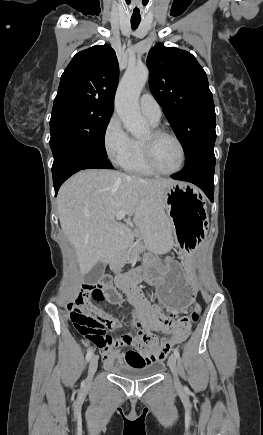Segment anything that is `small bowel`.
<instances>
[{"mask_svg": "<svg viewBox=\"0 0 263 435\" xmlns=\"http://www.w3.org/2000/svg\"><path fill=\"white\" fill-rule=\"evenodd\" d=\"M148 266L141 267L135 271L120 274L115 277L112 290L116 293L117 299L111 301L112 304H121L124 299L133 306V311L128 324L132 328H149L150 332H162L158 338L163 340L165 348L163 350H99L103 364L106 368L114 366H144L152 362H161L167 355H174L179 347L176 342L185 330H191V321H175L172 315L167 313L164 305L152 304L139 287L142 282V275ZM75 306L89 312L99 314L107 328L119 329L125 323L117 316L110 315L97 308L92 299L86 295H79L75 300Z\"/></svg>", "mask_w": 263, "mask_h": 435, "instance_id": "obj_1", "label": "small bowel"}]
</instances>
